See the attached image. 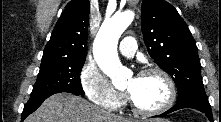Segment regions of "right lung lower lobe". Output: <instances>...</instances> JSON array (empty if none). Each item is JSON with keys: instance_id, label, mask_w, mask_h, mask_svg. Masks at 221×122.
I'll use <instances>...</instances> for the list:
<instances>
[{"instance_id": "obj_1", "label": "right lung lower lobe", "mask_w": 221, "mask_h": 122, "mask_svg": "<svg viewBox=\"0 0 221 122\" xmlns=\"http://www.w3.org/2000/svg\"><path fill=\"white\" fill-rule=\"evenodd\" d=\"M59 92H63V91H58V92H52V93H48L46 95H41V96H37L34 98L29 99V101L25 104L22 115H21V121H23L29 114H31L32 112H34L41 104L42 102L48 98L49 96L55 94V93H59ZM69 93H73V92H69ZM75 95H79L77 93H73Z\"/></svg>"}]
</instances>
